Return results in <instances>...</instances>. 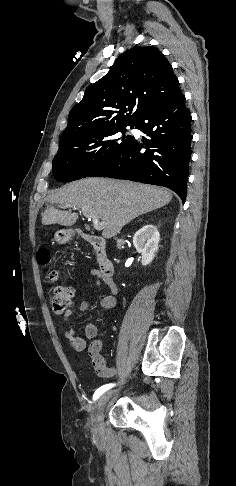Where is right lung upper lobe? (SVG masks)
<instances>
[{"mask_svg": "<svg viewBox=\"0 0 236 486\" xmlns=\"http://www.w3.org/2000/svg\"><path fill=\"white\" fill-rule=\"evenodd\" d=\"M182 95L172 66L161 51L154 46L133 47L86 89L82 101L69 113L60 143L112 126L134 124L147 108Z\"/></svg>", "mask_w": 236, "mask_h": 486, "instance_id": "obj_1", "label": "right lung upper lobe"}]
</instances>
